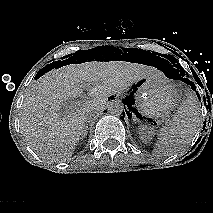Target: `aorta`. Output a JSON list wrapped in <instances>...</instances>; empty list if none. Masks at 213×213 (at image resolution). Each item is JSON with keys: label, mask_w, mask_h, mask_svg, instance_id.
<instances>
[{"label": "aorta", "mask_w": 213, "mask_h": 213, "mask_svg": "<svg viewBox=\"0 0 213 213\" xmlns=\"http://www.w3.org/2000/svg\"><path fill=\"white\" fill-rule=\"evenodd\" d=\"M124 110V105L120 100H112L108 104V112L112 115L119 116Z\"/></svg>", "instance_id": "1"}]
</instances>
